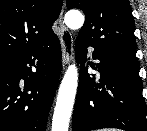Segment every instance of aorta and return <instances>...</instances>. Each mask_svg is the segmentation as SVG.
<instances>
[{
  "instance_id": "obj_1",
  "label": "aorta",
  "mask_w": 147,
  "mask_h": 131,
  "mask_svg": "<svg viewBox=\"0 0 147 131\" xmlns=\"http://www.w3.org/2000/svg\"><path fill=\"white\" fill-rule=\"evenodd\" d=\"M64 21L70 29L78 30L84 24V16L80 11L71 10L65 14ZM77 86L78 71L73 64L68 67L59 88L52 119V131H68Z\"/></svg>"
}]
</instances>
